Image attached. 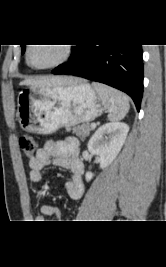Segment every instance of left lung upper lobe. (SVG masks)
<instances>
[{"mask_svg": "<svg viewBox=\"0 0 166 267\" xmlns=\"http://www.w3.org/2000/svg\"><path fill=\"white\" fill-rule=\"evenodd\" d=\"M24 46H25V45H21V47H22V54H23L24 51H25Z\"/></svg>", "mask_w": 166, "mask_h": 267, "instance_id": "1", "label": "left lung upper lobe"}]
</instances>
